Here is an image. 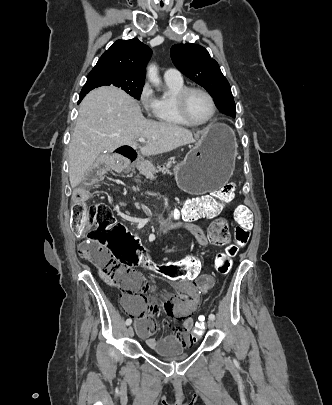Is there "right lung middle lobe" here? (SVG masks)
<instances>
[{
	"mask_svg": "<svg viewBox=\"0 0 332 405\" xmlns=\"http://www.w3.org/2000/svg\"><path fill=\"white\" fill-rule=\"evenodd\" d=\"M104 85H114L120 87L125 92L139 100L144 85V80L133 78L118 72H91L88 75L87 82L84 85L82 91H91L96 87Z\"/></svg>",
	"mask_w": 332,
	"mask_h": 405,
	"instance_id": "dd1d6c3e",
	"label": "right lung middle lobe"
}]
</instances>
